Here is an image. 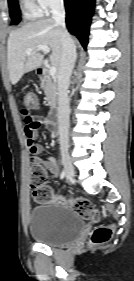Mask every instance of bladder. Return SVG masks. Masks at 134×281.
I'll return each mask as SVG.
<instances>
[{
	"label": "bladder",
	"mask_w": 134,
	"mask_h": 281,
	"mask_svg": "<svg viewBox=\"0 0 134 281\" xmlns=\"http://www.w3.org/2000/svg\"><path fill=\"white\" fill-rule=\"evenodd\" d=\"M85 229V220L72 208L62 204H43L32 208L29 233L42 244L61 246L72 242Z\"/></svg>",
	"instance_id": "31cf9c89"
}]
</instances>
